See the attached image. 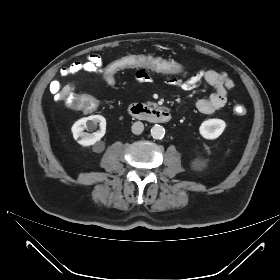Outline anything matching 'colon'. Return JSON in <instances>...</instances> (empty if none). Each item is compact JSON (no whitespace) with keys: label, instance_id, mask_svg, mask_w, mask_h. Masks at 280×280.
Listing matches in <instances>:
<instances>
[{"label":"colon","instance_id":"colon-1","mask_svg":"<svg viewBox=\"0 0 280 280\" xmlns=\"http://www.w3.org/2000/svg\"><path fill=\"white\" fill-rule=\"evenodd\" d=\"M138 68L150 69L156 73H166L169 76H177L182 72L183 65L179 61L160 56L128 54L122 58L115 59L112 63L104 67V80L108 84H113L123 71ZM64 72L74 73L75 68L71 65ZM50 89L57 99L62 100L63 104L73 111L89 113L95 111L98 107V102L94 95L78 96L79 89L74 84L64 86L59 85L58 82H54L51 84ZM234 113L238 116H243L246 113V108L243 105H236L234 107Z\"/></svg>","mask_w":280,"mask_h":280}]
</instances>
